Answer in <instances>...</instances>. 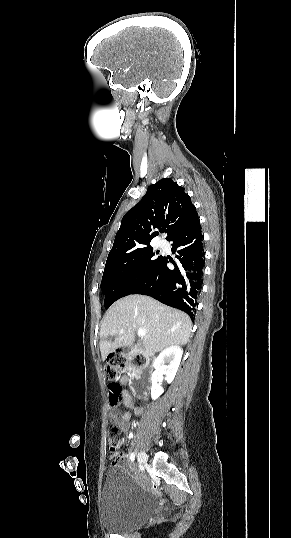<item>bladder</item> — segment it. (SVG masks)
Masks as SVG:
<instances>
[{"label": "bladder", "instance_id": "bladder-1", "mask_svg": "<svg viewBox=\"0 0 291 538\" xmlns=\"http://www.w3.org/2000/svg\"><path fill=\"white\" fill-rule=\"evenodd\" d=\"M156 504L124 467L109 468L100 496L101 524L115 533L128 532L146 522Z\"/></svg>", "mask_w": 291, "mask_h": 538}]
</instances>
